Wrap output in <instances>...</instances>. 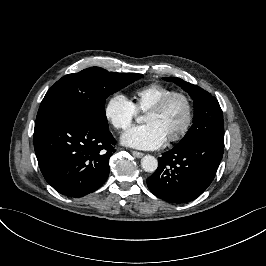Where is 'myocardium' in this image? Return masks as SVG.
I'll use <instances>...</instances> for the list:
<instances>
[{
  "instance_id": "f54148a6",
  "label": "myocardium",
  "mask_w": 266,
  "mask_h": 266,
  "mask_svg": "<svg viewBox=\"0 0 266 266\" xmlns=\"http://www.w3.org/2000/svg\"><path fill=\"white\" fill-rule=\"evenodd\" d=\"M182 98L188 108V115L186 118L185 123L181 127V129L174 135L170 136L167 138V140L171 143L178 142L180 141L188 132L190 129L193 120H194V115H195V107H194V102L189 94L183 91H172L162 97L157 103L152 105L147 109V112L149 111H154V112H163L166 110V108L169 106V104L175 99V98Z\"/></svg>"
}]
</instances>
